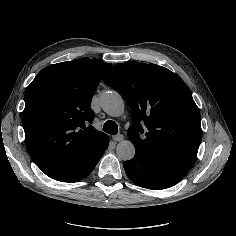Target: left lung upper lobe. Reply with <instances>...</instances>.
Returning a JSON list of instances; mask_svg holds the SVG:
<instances>
[{
    "label": "left lung upper lobe",
    "mask_w": 236,
    "mask_h": 236,
    "mask_svg": "<svg viewBox=\"0 0 236 236\" xmlns=\"http://www.w3.org/2000/svg\"><path fill=\"white\" fill-rule=\"evenodd\" d=\"M103 81L131 108L128 137L135 149L186 175L196 161L202 130L199 109L183 80L164 67L129 62L114 65Z\"/></svg>",
    "instance_id": "1"
}]
</instances>
